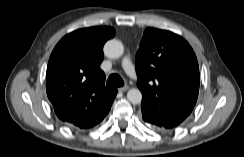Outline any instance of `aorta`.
<instances>
[{
    "label": "aorta",
    "mask_w": 244,
    "mask_h": 157,
    "mask_svg": "<svg viewBox=\"0 0 244 157\" xmlns=\"http://www.w3.org/2000/svg\"><path fill=\"white\" fill-rule=\"evenodd\" d=\"M123 44L116 39L109 40L104 45V54L108 58L116 59L123 55ZM127 98L132 104H139L142 100V93L139 89H130L127 92Z\"/></svg>",
    "instance_id": "762f6f07"
}]
</instances>
